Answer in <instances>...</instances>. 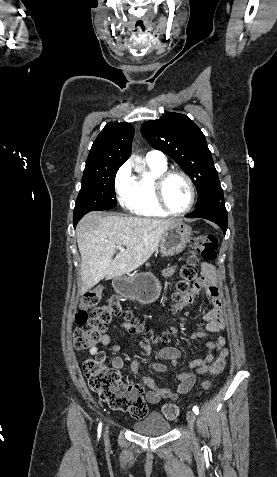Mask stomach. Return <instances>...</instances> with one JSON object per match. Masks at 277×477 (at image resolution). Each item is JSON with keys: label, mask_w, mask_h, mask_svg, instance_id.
<instances>
[{"label": "stomach", "mask_w": 277, "mask_h": 477, "mask_svg": "<svg viewBox=\"0 0 277 477\" xmlns=\"http://www.w3.org/2000/svg\"><path fill=\"white\" fill-rule=\"evenodd\" d=\"M192 228L177 220L164 232L160 242L163 256H172L182 252L191 240ZM114 289L122 296L137 300L142 304L156 301L161 292L159 281L151 273H138L128 277H116Z\"/></svg>", "instance_id": "0dacf381"}]
</instances>
